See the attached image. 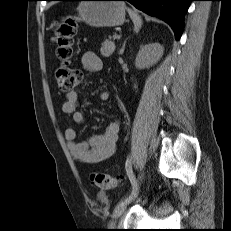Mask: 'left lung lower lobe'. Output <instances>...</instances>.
Returning <instances> with one entry per match:
<instances>
[{
	"mask_svg": "<svg viewBox=\"0 0 231 231\" xmlns=\"http://www.w3.org/2000/svg\"><path fill=\"white\" fill-rule=\"evenodd\" d=\"M72 1V0H71ZM128 1L148 15L158 17L168 23L178 40L183 30L186 10L192 0H121Z\"/></svg>",
	"mask_w": 231,
	"mask_h": 231,
	"instance_id": "obj_1",
	"label": "left lung lower lobe"
}]
</instances>
